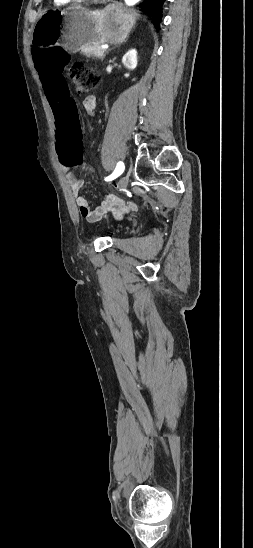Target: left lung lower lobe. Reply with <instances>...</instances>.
<instances>
[{"label": "left lung lower lobe", "instance_id": "left-lung-lower-lobe-1", "mask_svg": "<svg viewBox=\"0 0 253 548\" xmlns=\"http://www.w3.org/2000/svg\"><path fill=\"white\" fill-rule=\"evenodd\" d=\"M165 0H144L141 7L149 11L153 16L154 24L159 27L162 16V4Z\"/></svg>", "mask_w": 253, "mask_h": 548}]
</instances>
